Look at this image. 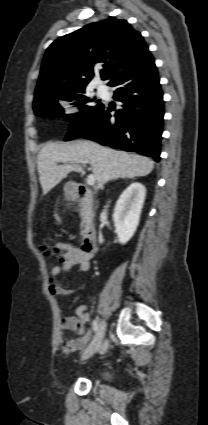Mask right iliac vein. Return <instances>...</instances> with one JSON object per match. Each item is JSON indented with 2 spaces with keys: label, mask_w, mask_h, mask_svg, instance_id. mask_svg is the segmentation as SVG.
Here are the masks:
<instances>
[{
  "label": "right iliac vein",
  "mask_w": 208,
  "mask_h": 425,
  "mask_svg": "<svg viewBox=\"0 0 208 425\" xmlns=\"http://www.w3.org/2000/svg\"><path fill=\"white\" fill-rule=\"evenodd\" d=\"M105 331H106V323L102 321L98 331L96 332L94 339L91 341V343L88 345V347L85 349L82 355L83 360L90 358L100 348H102V341L104 339Z\"/></svg>",
  "instance_id": "63e3f726"
}]
</instances>
